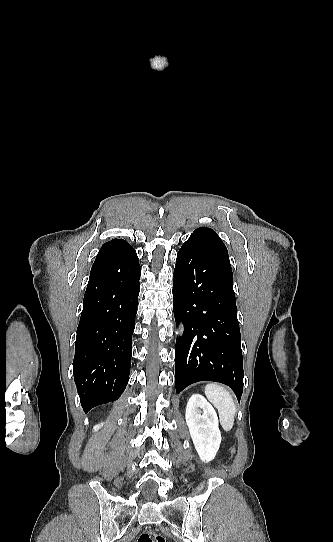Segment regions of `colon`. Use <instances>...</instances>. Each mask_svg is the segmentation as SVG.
<instances>
[{
  "instance_id": "colon-1",
  "label": "colon",
  "mask_w": 333,
  "mask_h": 542,
  "mask_svg": "<svg viewBox=\"0 0 333 542\" xmlns=\"http://www.w3.org/2000/svg\"><path fill=\"white\" fill-rule=\"evenodd\" d=\"M137 542H166V539L161 534L148 530L140 533Z\"/></svg>"
}]
</instances>
